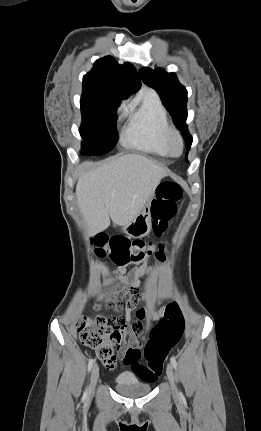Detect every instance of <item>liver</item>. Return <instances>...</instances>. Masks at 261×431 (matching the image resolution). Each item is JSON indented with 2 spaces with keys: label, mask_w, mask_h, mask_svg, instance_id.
<instances>
[{
  "label": "liver",
  "mask_w": 261,
  "mask_h": 431,
  "mask_svg": "<svg viewBox=\"0 0 261 431\" xmlns=\"http://www.w3.org/2000/svg\"><path fill=\"white\" fill-rule=\"evenodd\" d=\"M166 170L147 157L131 153L112 157L83 171L76 185L77 204L87 232L93 235L114 224L130 223L145 207Z\"/></svg>",
  "instance_id": "1"
}]
</instances>
